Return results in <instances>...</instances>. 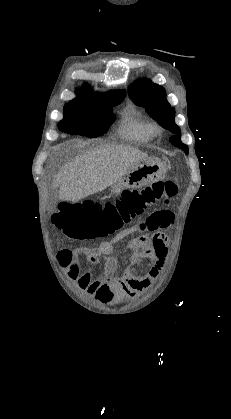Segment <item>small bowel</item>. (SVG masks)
Here are the masks:
<instances>
[{"mask_svg": "<svg viewBox=\"0 0 231 419\" xmlns=\"http://www.w3.org/2000/svg\"><path fill=\"white\" fill-rule=\"evenodd\" d=\"M173 213L166 210L150 215L145 221L116 234L111 240L102 242L96 248L64 249L60 265L66 270L68 277L77 282L79 288L102 304H114L126 297H134L148 290L159 278L167 260L171 242L168 236L159 231L173 223ZM151 231V234H147ZM132 238L127 248L132 252L131 262L149 261V270L142 275L133 268H126L118 273V263L112 255L114 248L126 238ZM87 264H97L104 260L100 275L93 277L91 272L83 271L80 257Z\"/></svg>", "mask_w": 231, "mask_h": 419, "instance_id": "c3829d8e", "label": "small bowel"}]
</instances>
